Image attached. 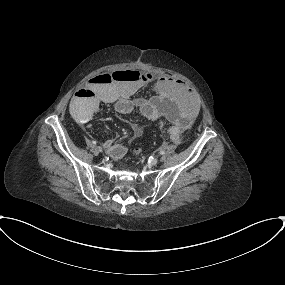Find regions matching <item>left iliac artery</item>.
<instances>
[{"label":"left iliac artery","mask_w":285,"mask_h":285,"mask_svg":"<svg viewBox=\"0 0 285 285\" xmlns=\"http://www.w3.org/2000/svg\"><path fill=\"white\" fill-rule=\"evenodd\" d=\"M160 154H164V152H163V151H161V152H160Z\"/></svg>","instance_id":"44dca946"}]
</instances>
